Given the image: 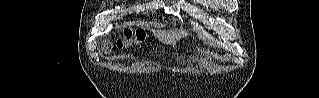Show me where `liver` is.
<instances>
[{
	"instance_id": "6515ba94",
	"label": "liver",
	"mask_w": 319,
	"mask_h": 98,
	"mask_svg": "<svg viewBox=\"0 0 319 98\" xmlns=\"http://www.w3.org/2000/svg\"><path fill=\"white\" fill-rule=\"evenodd\" d=\"M156 34H157V36H159L160 38H164V39H166V38H168V37L174 35V33H172V32H165V31H157Z\"/></svg>"
}]
</instances>
